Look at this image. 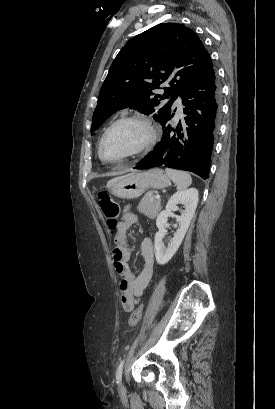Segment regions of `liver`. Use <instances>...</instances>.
<instances>
[{"mask_svg":"<svg viewBox=\"0 0 275 409\" xmlns=\"http://www.w3.org/2000/svg\"><path fill=\"white\" fill-rule=\"evenodd\" d=\"M124 176H127V174H124ZM117 178H122V176H116V178H112V180H108L107 186H109L110 182H113V180H117Z\"/></svg>","mask_w":275,"mask_h":409,"instance_id":"obj_1","label":"liver"}]
</instances>
